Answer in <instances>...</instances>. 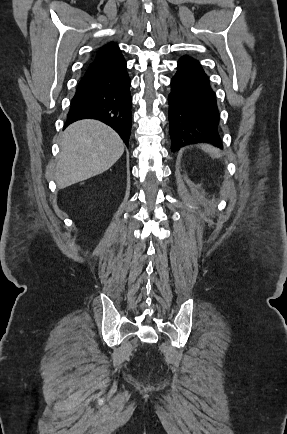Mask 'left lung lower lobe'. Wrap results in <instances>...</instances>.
<instances>
[{"instance_id":"left-lung-lower-lobe-1","label":"left lung lower lobe","mask_w":287,"mask_h":434,"mask_svg":"<svg viewBox=\"0 0 287 434\" xmlns=\"http://www.w3.org/2000/svg\"><path fill=\"white\" fill-rule=\"evenodd\" d=\"M171 86L168 117L172 150L202 142L222 147L216 95L200 63L183 56Z\"/></svg>"}]
</instances>
